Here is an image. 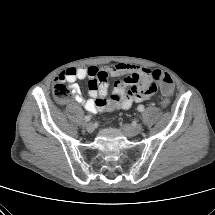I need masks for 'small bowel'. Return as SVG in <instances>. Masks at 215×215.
<instances>
[{
    "label": "small bowel",
    "instance_id": "obj_1",
    "mask_svg": "<svg viewBox=\"0 0 215 215\" xmlns=\"http://www.w3.org/2000/svg\"><path fill=\"white\" fill-rule=\"evenodd\" d=\"M124 75L123 80L115 83L111 97H107L108 78ZM59 78L69 83L74 101L83 105L90 113L128 109L134 103L145 101L153 95L144 93L152 86L150 69L131 63H118L101 68L71 67L61 72ZM85 78H89L88 99L82 96L77 83Z\"/></svg>",
    "mask_w": 215,
    "mask_h": 215
}]
</instances>
